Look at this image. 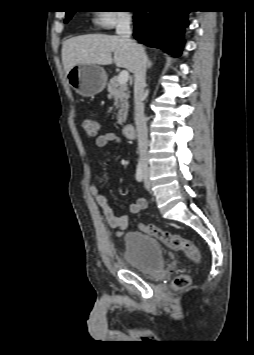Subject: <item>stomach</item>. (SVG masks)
<instances>
[{"instance_id": "0dacf381", "label": "stomach", "mask_w": 254, "mask_h": 355, "mask_svg": "<svg viewBox=\"0 0 254 355\" xmlns=\"http://www.w3.org/2000/svg\"><path fill=\"white\" fill-rule=\"evenodd\" d=\"M70 86L81 96L91 97L100 93L106 85L107 75L96 64H78L67 73Z\"/></svg>"}]
</instances>
